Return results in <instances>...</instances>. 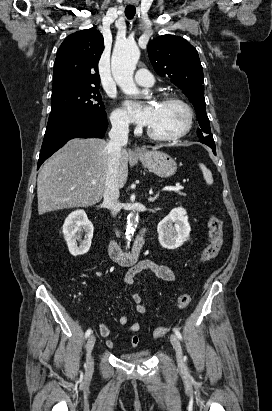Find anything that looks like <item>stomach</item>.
<instances>
[{"instance_id": "obj_1", "label": "stomach", "mask_w": 272, "mask_h": 411, "mask_svg": "<svg viewBox=\"0 0 272 411\" xmlns=\"http://www.w3.org/2000/svg\"><path fill=\"white\" fill-rule=\"evenodd\" d=\"M137 158L148 170L162 178L174 175L177 170L173 158L161 151H146Z\"/></svg>"}]
</instances>
